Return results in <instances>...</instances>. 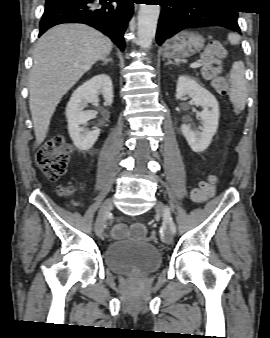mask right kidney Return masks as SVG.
Segmentation results:
<instances>
[{
    "label": "right kidney",
    "mask_w": 270,
    "mask_h": 338,
    "mask_svg": "<svg viewBox=\"0 0 270 338\" xmlns=\"http://www.w3.org/2000/svg\"><path fill=\"white\" fill-rule=\"evenodd\" d=\"M102 94L105 102L111 104L113 101V86L111 78L106 74L94 76L83 83L72 94L67 107L66 118L68 121L69 135L74 145L80 150L90 149L100 134V129L95 128L88 131L80 125L86 124L96 114L85 111L88 103H98V96Z\"/></svg>",
    "instance_id": "obj_1"
}]
</instances>
